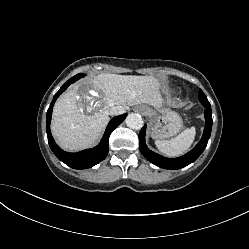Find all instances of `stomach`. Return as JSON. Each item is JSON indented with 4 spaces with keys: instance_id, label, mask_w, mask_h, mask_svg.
Wrapping results in <instances>:
<instances>
[{
    "instance_id": "stomach-1",
    "label": "stomach",
    "mask_w": 249,
    "mask_h": 249,
    "mask_svg": "<svg viewBox=\"0 0 249 249\" xmlns=\"http://www.w3.org/2000/svg\"><path fill=\"white\" fill-rule=\"evenodd\" d=\"M148 113H151L150 109H148ZM181 129V117L174 111H167L157 117L150 134L155 139L164 140L175 136Z\"/></svg>"
}]
</instances>
